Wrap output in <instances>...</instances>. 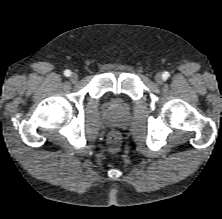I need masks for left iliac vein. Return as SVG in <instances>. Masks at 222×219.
<instances>
[{
	"mask_svg": "<svg viewBox=\"0 0 222 219\" xmlns=\"http://www.w3.org/2000/svg\"><path fill=\"white\" fill-rule=\"evenodd\" d=\"M155 81H156V83H158V84H161V83L163 82V76H162L161 73L156 74V76H155Z\"/></svg>",
	"mask_w": 222,
	"mask_h": 219,
	"instance_id": "1",
	"label": "left iliac vein"
}]
</instances>
